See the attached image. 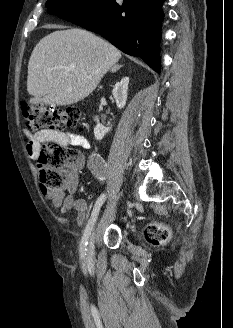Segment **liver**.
Here are the masks:
<instances>
[{
	"mask_svg": "<svg viewBox=\"0 0 233 328\" xmlns=\"http://www.w3.org/2000/svg\"><path fill=\"white\" fill-rule=\"evenodd\" d=\"M120 58L116 47L88 31L73 28L53 32L39 41L28 62L30 103H77L94 91Z\"/></svg>",
	"mask_w": 233,
	"mask_h": 328,
	"instance_id": "1",
	"label": "liver"
}]
</instances>
